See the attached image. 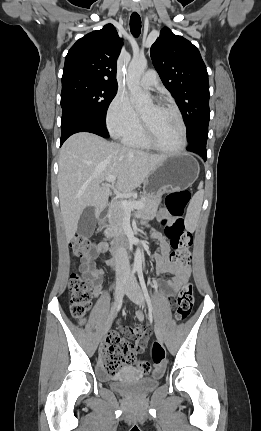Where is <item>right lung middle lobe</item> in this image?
Instances as JSON below:
<instances>
[{
  "label": "right lung middle lobe",
  "mask_w": 261,
  "mask_h": 431,
  "mask_svg": "<svg viewBox=\"0 0 261 431\" xmlns=\"http://www.w3.org/2000/svg\"><path fill=\"white\" fill-rule=\"evenodd\" d=\"M117 86L86 76L62 79L61 107L89 120L106 125V112L117 93Z\"/></svg>",
  "instance_id": "obj_1"
}]
</instances>
